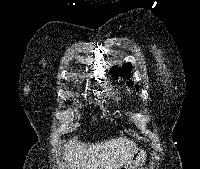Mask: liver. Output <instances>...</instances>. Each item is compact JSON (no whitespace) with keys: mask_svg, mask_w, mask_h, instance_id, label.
<instances>
[{"mask_svg":"<svg viewBox=\"0 0 200 169\" xmlns=\"http://www.w3.org/2000/svg\"><path fill=\"white\" fill-rule=\"evenodd\" d=\"M138 150L126 138H112L95 144L70 140L62 148L65 162L60 169H119Z\"/></svg>","mask_w":200,"mask_h":169,"instance_id":"liver-1","label":"liver"}]
</instances>
